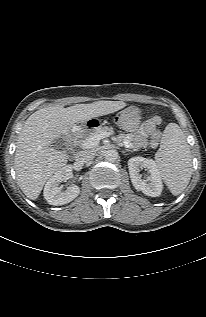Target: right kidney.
Returning a JSON list of instances; mask_svg holds the SVG:
<instances>
[{
    "label": "right kidney",
    "instance_id": "right-kidney-1",
    "mask_svg": "<svg viewBox=\"0 0 206 317\" xmlns=\"http://www.w3.org/2000/svg\"><path fill=\"white\" fill-rule=\"evenodd\" d=\"M72 176V166L66 165L59 169L45 184L44 198L50 205L60 206L74 200L80 193V188L76 185H70L65 191H62L60 183L66 181Z\"/></svg>",
    "mask_w": 206,
    "mask_h": 317
}]
</instances>
